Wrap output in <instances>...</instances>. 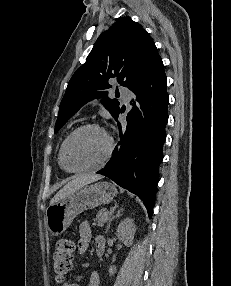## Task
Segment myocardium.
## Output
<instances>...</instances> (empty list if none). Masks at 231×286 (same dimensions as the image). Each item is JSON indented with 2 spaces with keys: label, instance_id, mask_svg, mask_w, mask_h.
I'll return each mask as SVG.
<instances>
[{
  "label": "myocardium",
  "instance_id": "obj_1",
  "mask_svg": "<svg viewBox=\"0 0 231 286\" xmlns=\"http://www.w3.org/2000/svg\"><path fill=\"white\" fill-rule=\"evenodd\" d=\"M85 129H96L100 131L101 133H103L108 142L107 151L101 159H99L98 161L92 164H89L87 166H84L78 169H69L65 165V150H66L67 144L69 143V141L74 135H76L78 132L85 130ZM114 147L115 145H114L113 137L111 136V134L107 131L105 127H103L102 125L98 123H92V122L85 123V124H82L76 127L63 141L61 148H60L59 164L65 171L69 173H81V172L89 171V170L98 168L100 166H103L111 158L112 153L114 151Z\"/></svg>",
  "mask_w": 231,
  "mask_h": 286
}]
</instances>
